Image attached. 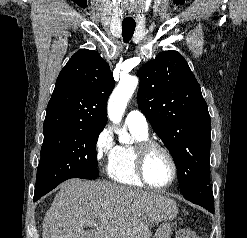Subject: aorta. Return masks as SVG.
Segmentation results:
<instances>
[{"label": "aorta", "instance_id": "1", "mask_svg": "<svg viewBox=\"0 0 247 238\" xmlns=\"http://www.w3.org/2000/svg\"><path fill=\"white\" fill-rule=\"evenodd\" d=\"M137 85L138 79L136 77L126 76L119 81L117 87L112 92L108 101L107 112L109 119L114 124L121 122L127 103ZM117 134L121 143H128L130 141V136L126 131H118Z\"/></svg>", "mask_w": 247, "mask_h": 238}]
</instances>
